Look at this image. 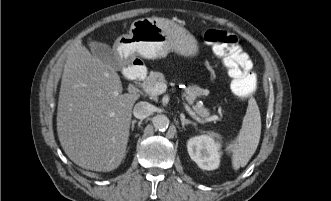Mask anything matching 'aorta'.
I'll return each instance as SVG.
<instances>
[{"instance_id":"1","label":"aorta","mask_w":331,"mask_h":201,"mask_svg":"<svg viewBox=\"0 0 331 201\" xmlns=\"http://www.w3.org/2000/svg\"><path fill=\"white\" fill-rule=\"evenodd\" d=\"M153 125L159 131H165L169 126V119L165 115H156L153 118Z\"/></svg>"}]
</instances>
